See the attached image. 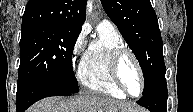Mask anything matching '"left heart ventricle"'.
<instances>
[{"mask_svg": "<svg viewBox=\"0 0 193 112\" xmlns=\"http://www.w3.org/2000/svg\"><path fill=\"white\" fill-rule=\"evenodd\" d=\"M120 73L129 92L137 95L140 91V78L136 66L130 57L123 59L120 66Z\"/></svg>", "mask_w": 193, "mask_h": 112, "instance_id": "left-heart-ventricle-1", "label": "left heart ventricle"}]
</instances>
